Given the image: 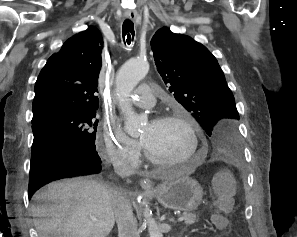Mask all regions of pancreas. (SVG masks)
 <instances>
[{
  "label": "pancreas",
  "instance_id": "1",
  "mask_svg": "<svg viewBox=\"0 0 297 237\" xmlns=\"http://www.w3.org/2000/svg\"><path fill=\"white\" fill-rule=\"evenodd\" d=\"M182 217H184V223L187 225H192L198 220V215L190 212H184Z\"/></svg>",
  "mask_w": 297,
  "mask_h": 237
}]
</instances>
